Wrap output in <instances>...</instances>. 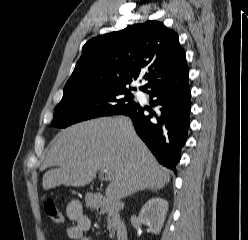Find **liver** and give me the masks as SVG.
<instances>
[{
    "label": "liver",
    "mask_w": 248,
    "mask_h": 240,
    "mask_svg": "<svg viewBox=\"0 0 248 240\" xmlns=\"http://www.w3.org/2000/svg\"><path fill=\"white\" fill-rule=\"evenodd\" d=\"M57 166L43 176V188L89 184L98 170L111 173L105 190L119 201L138 190L161 189L170 181L163 168L137 136L128 117H103L61 130L47 153L43 168Z\"/></svg>",
    "instance_id": "6515ba94"
}]
</instances>
